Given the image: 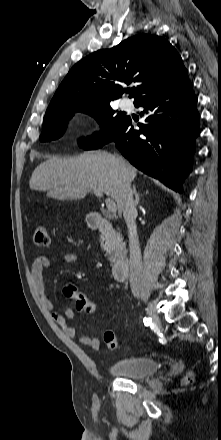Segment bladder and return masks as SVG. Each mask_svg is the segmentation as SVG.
<instances>
[{
    "label": "bladder",
    "mask_w": 221,
    "mask_h": 440,
    "mask_svg": "<svg viewBox=\"0 0 221 440\" xmlns=\"http://www.w3.org/2000/svg\"><path fill=\"white\" fill-rule=\"evenodd\" d=\"M158 368L159 363L155 358L137 356L111 363L108 372L121 378L144 379L154 375Z\"/></svg>",
    "instance_id": "obj_1"
}]
</instances>
